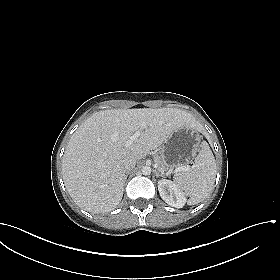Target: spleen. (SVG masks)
Segmentation results:
<instances>
[{"label": "spleen", "instance_id": "3e777b00", "mask_svg": "<svg viewBox=\"0 0 280 280\" xmlns=\"http://www.w3.org/2000/svg\"><path fill=\"white\" fill-rule=\"evenodd\" d=\"M216 172L214 155L209 145L202 142L192 167L188 171L176 174L174 182L184 195L190 197L188 204L194 205L208 196L213 188Z\"/></svg>", "mask_w": 280, "mask_h": 280}]
</instances>
